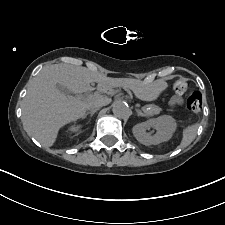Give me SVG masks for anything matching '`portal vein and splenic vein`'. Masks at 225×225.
<instances>
[{"label": "portal vein and splenic vein", "instance_id": "portal-vein-and-splenic-vein-1", "mask_svg": "<svg viewBox=\"0 0 225 225\" xmlns=\"http://www.w3.org/2000/svg\"><path fill=\"white\" fill-rule=\"evenodd\" d=\"M97 94H94V95H90L89 97H94V96H96Z\"/></svg>", "mask_w": 225, "mask_h": 225}]
</instances>
